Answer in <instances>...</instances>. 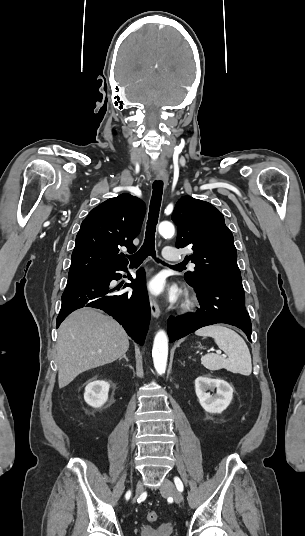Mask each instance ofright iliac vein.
Here are the masks:
<instances>
[{
	"label": "right iliac vein",
	"instance_id": "right-iliac-vein-1",
	"mask_svg": "<svg viewBox=\"0 0 305 536\" xmlns=\"http://www.w3.org/2000/svg\"><path fill=\"white\" fill-rule=\"evenodd\" d=\"M142 489H143V486H142V483L141 481H137L136 483V494L139 495L142 493Z\"/></svg>",
	"mask_w": 305,
	"mask_h": 536
}]
</instances>
